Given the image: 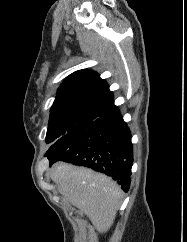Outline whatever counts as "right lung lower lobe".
<instances>
[{"instance_id":"1","label":"right lung lower lobe","mask_w":187,"mask_h":242,"mask_svg":"<svg viewBox=\"0 0 187 242\" xmlns=\"http://www.w3.org/2000/svg\"><path fill=\"white\" fill-rule=\"evenodd\" d=\"M45 156L50 166L58 161L86 166L117 180L127 192L133 163L130 130L114 104L95 120L65 134Z\"/></svg>"}]
</instances>
